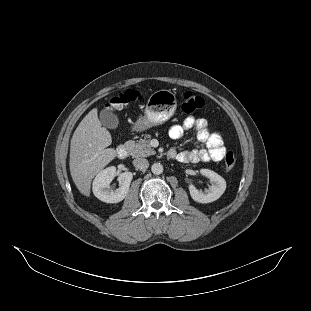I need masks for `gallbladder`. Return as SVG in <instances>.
I'll return each instance as SVG.
<instances>
[{
	"label": "gallbladder",
	"mask_w": 311,
	"mask_h": 311,
	"mask_svg": "<svg viewBox=\"0 0 311 311\" xmlns=\"http://www.w3.org/2000/svg\"><path fill=\"white\" fill-rule=\"evenodd\" d=\"M100 119L102 124L108 128H114L118 124L117 117L109 111H102L100 113Z\"/></svg>",
	"instance_id": "gallbladder-1"
}]
</instances>
